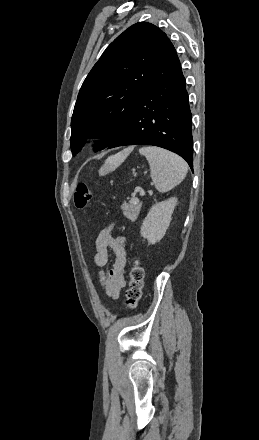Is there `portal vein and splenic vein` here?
<instances>
[{
    "mask_svg": "<svg viewBox=\"0 0 259 440\" xmlns=\"http://www.w3.org/2000/svg\"><path fill=\"white\" fill-rule=\"evenodd\" d=\"M136 191L137 192H139V194L141 195V196H144L145 195V192H144V190L142 189V188H136ZM133 201H134V203H136V202H138L139 200H138V198H133Z\"/></svg>",
    "mask_w": 259,
    "mask_h": 440,
    "instance_id": "obj_1",
    "label": "portal vein and splenic vein"
}]
</instances>
